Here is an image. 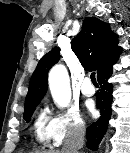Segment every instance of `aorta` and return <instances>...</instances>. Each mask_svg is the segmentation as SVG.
Instances as JSON below:
<instances>
[{
  "mask_svg": "<svg viewBox=\"0 0 130 153\" xmlns=\"http://www.w3.org/2000/svg\"><path fill=\"white\" fill-rule=\"evenodd\" d=\"M49 88L54 102L60 108L67 107L71 101L70 80L64 65L57 64L49 72Z\"/></svg>",
  "mask_w": 130,
  "mask_h": 153,
  "instance_id": "1",
  "label": "aorta"
}]
</instances>
